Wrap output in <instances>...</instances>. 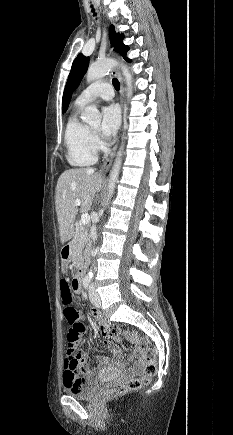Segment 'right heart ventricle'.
Returning a JSON list of instances; mask_svg holds the SVG:
<instances>
[{
	"mask_svg": "<svg viewBox=\"0 0 233 435\" xmlns=\"http://www.w3.org/2000/svg\"><path fill=\"white\" fill-rule=\"evenodd\" d=\"M64 140L67 160L72 166L86 167L96 163L97 155L92 144V133L90 128L80 120L77 110L68 119Z\"/></svg>",
	"mask_w": 233,
	"mask_h": 435,
	"instance_id": "obj_1",
	"label": "right heart ventricle"
}]
</instances>
